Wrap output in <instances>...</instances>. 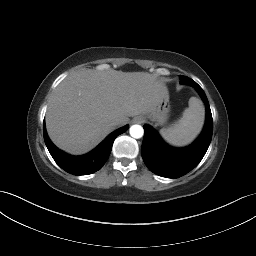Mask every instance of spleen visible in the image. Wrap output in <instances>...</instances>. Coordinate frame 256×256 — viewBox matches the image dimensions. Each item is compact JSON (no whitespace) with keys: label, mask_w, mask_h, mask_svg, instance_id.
Segmentation results:
<instances>
[{"label":"spleen","mask_w":256,"mask_h":256,"mask_svg":"<svg viewBox=\"0 0 256 256\" xmlns=\"http://www.w3.org/2000/svg\"><path fill=\"white\" fill-rule=\"evenodd\" d=\"M204 123V106L196 97L189 99V107L185 109L182 118L171 127L163 128L161 136L169 144L184 146L192 142L201 131Z\"/></svg>","instance_id":"1"}]
</instances>
